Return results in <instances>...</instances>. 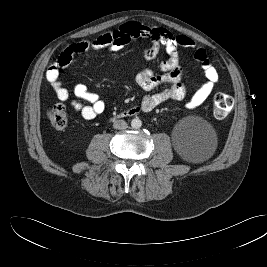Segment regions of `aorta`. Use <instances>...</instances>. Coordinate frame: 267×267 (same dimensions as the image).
<instances>
[{
	"instance_id": "aorta-1",
	"label": "aorta",
	"mask_w": 267,
	"mask_h": 267,
	"mask_svg": "<svg viewBox=\"0 0 267 267\" xmlns=\"http://www.w3.org/2000/svg\"><path fill=\"white\" fill-rule=\"evenodd\" d=\"M142 126V121L139 118H134L131 121V127L133 129H139Z\"/></svg>"
}]
</instances>
